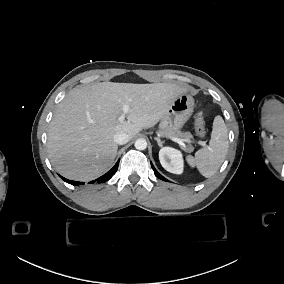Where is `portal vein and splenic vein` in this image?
<instances>
[{"instance_id":"18ae733b","label":"portal vein and splenic vein","mask_w":284,"mask_h":284,"mask_svg":"<svg viewBox=\"0 0 284 284\" xmlns=\"http://www.w3.org/2000/svg\"><path fill=\"white\" fill-rule=\"evenodd\" d=\"M129 109H130V106H129L128 104H124V105H123V108H122L123 112H122V114L118 117V121H119V122H124L125 117H126V115L128 114V112H129ZM170 139H171L172 141L178 143V144L181 145V146H185V143H184V142H188L187 139H181V138H177V137H171ZM199 144H200L201 146H206V142H205V141H199Z\"/></svg>"}]
</instances>
